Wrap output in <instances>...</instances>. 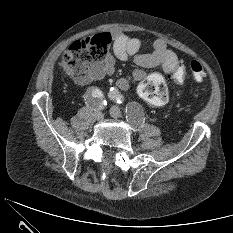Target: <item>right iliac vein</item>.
Returning <instances> with one entry per match:
<instances>
[{
  "label": "right iliac vein",
  "instance_id": "right-iliac-vein-1",
  "mask_svg": "<svg viewBox=\"0 0 233 233\" xmlns=\"http://www.w3.org/2000/svg\"><path fill=\"white\" fill-rule=\"evenodd\" d=\"M94 116H95V118L99 121V120H102L103 118H104V114L101 112V111H99V110H97L95 113H94Z\"/></svg>",
  "mask_w": 233,
  "mask_h": 233
}]
</instances>
